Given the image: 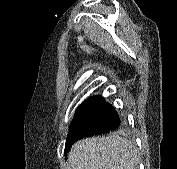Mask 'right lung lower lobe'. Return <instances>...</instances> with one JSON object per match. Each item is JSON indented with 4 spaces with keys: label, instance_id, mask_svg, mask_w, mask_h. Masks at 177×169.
<instances>
[{
    "label": "right lung lower lobe",
    "instance_id": "obj_1",
    "mask_svg": "<svg viewBox=\"0 0 177 169\" xmlns=\"http://www.w3.org/2000/svg\"><path fill=\"white\" fill-rule=\"evenodd\" d=\"M119 116L109 103L101 96L88 100V104L73 119L70 127L65 152L79 139L106 133L120 127Z\"/></svg>",
    "mask_w": 177,
    "mask_h": 169
}]
</instances>
